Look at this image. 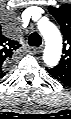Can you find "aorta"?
<instances>
[{
	"label": "aorta",
	"instance_id": "762f6f07",
	"mask_svg": "<svg viewBox=\"0 0 71 119\" xmlns=\"http://www.w3.org/2000/svg\"><path fill=\"white\" fill-rule=\"evenodd\" d=\"M39 30L43 35L46 47L43 54L44 63L47 66H56L60 60L62 50V37L57 27L49 22H41Z\"/></svg>",
	"mask_w": 71,
	"mask_h": 119
}]
</instances>
